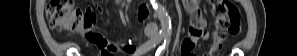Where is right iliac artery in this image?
Here are the masks:
<instances>
[{
  "instance_id": "obj_1",
  "label": "right iliac artery",
  "mask_w": 297,
  "mask_h": 56,
  "mask_svg": "<svg viewBox=\"0 0 297 56\" xmlns=\"http://www.w3.org/2000/svg\"><path fill=\"white\" fill-rule=\"evenodd\" d=\"M164 38V35L162 33L157 34L144 44H142L138 49L137 52L139 54H144L147 51L151 50L153 47H155L158 43L161 42V40Z\"/></svg>"
}]
</instances>
